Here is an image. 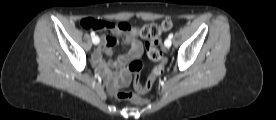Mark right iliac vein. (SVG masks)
<instances>
[{"label":"right iliac vein","instance_id":"obj_1","mask_svg":"<svg viewBox=\"0 0 276 120\" xmlns=\"http://www.w3.org/2000/svg\"><path fill=\"white\" fill-rule=\"evenodd\" d=\"M98 37L96 36V39H97ZM93 41V40H92ZM95 45H97L98 43H94Z\"/></svg>","mask_w":276,"mask_h":120}]
</instances>
